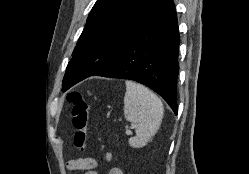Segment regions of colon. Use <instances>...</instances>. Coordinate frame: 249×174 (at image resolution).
<instances>
[{
    "label": "colon",
    "instance_id": "5ec220e1",
    "mask_svg": "<svg viewBox=\"0 0 249 174\" xmlns=\"http://www.w3.org/2000/svg\"><path fill=\"white\" fill-rule=\"evenodd\" d=\"M68 101L72 105V117L75 133L74 146L84 151L89 133V108L88 103L81 92L74 91L68 94Z\"/></svg>",
    "mask_w": 249,
    "mask_h": 174
}]
</instances>
